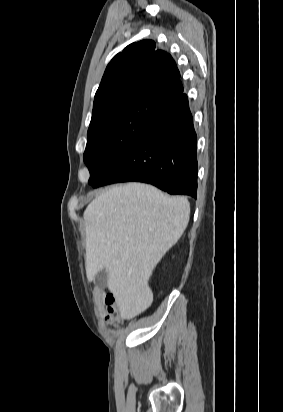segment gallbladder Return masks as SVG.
<instances>
[{
  "instance_id": "gallbladder-1",
  "label": "gallbladder",
  "mask_w": 283,
  "mask_h": 412,
  "mask_svg": "<svg viewBox=\"0 0 283 412\" xmlns=\"http://www.w3.org/2000/svg\"><path fill=\"white\" fill-rule=\"evenodd\" d=\"M108 273L106 269L99 271L94 277V284L99 288H105L107 285Z\"/></svg>"
}]
</instances>
